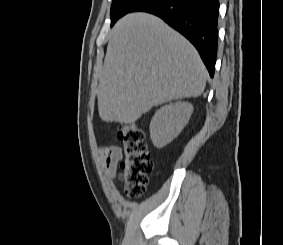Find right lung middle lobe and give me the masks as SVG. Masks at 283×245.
Listing matches in <instances>:
<instances>
[{"label": "right lung middle lobe", "mask_w": 283, "mask_h": 245, "mask_svg": "<svg viewBox=\"0 0 283 245\" xmlns=\"http://www.w3.org/2000/svg\"><path fill=\"white\" fill-rule=\"evenodd\" d=\"M144 0H113L111 6V26L123 15L130 12L136 5Z\"/></svg>", "instance_id": "obj_1"}]
</instances>
